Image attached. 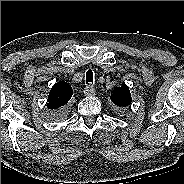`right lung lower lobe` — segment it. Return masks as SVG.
I'll list each match as a JSON object with an SVG mask.
<instances>
[{
  "label": "right lung lower lobe",
  "instance_id": "obj_1",
  "mask_svg": "<svg viewBox=\"0 0 184 184\" xmlns=\"http://www.w3.org/2000/svg\"><path fill=\"white\" fill-rule=\"evenodd\" d=\"M55 117L56 118H59L60 117L59 113L55 114Z\"/></svg>",
  "mask_w": 184,
  "mask_h": 184
}]
</instances>
